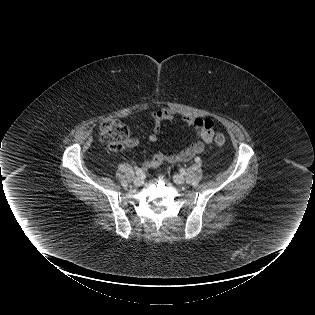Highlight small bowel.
Masks as SVG:
<instances>
[{
	"mask_svg": "<svg viewBox=\"0 0 315 315\" xmlns=\"http://www.w3.org/2000/svg\"><path fill=\"white\" fill-rule=\"evenodd\" d=\"M149 117L153 127L152 133L148 136V140L153 144L160 145L159 133L163 122H176L179 119L187 126L194 129L198 140L178 153L157 150L150 160L143 163L142 167L144 170L155 168L163 162L176 163L191 160L201 154L204 151L205 146L210 144L213 140L214 123L210 119H201L190 115H185L179 118L173 110L168 108L150 112ZM138 143L139 140L136 137H131L128 139L127 146L135 147Z\"/></svg>",
	"mask_w": 315,
	"mask_h": 315,
	"instance_id": "c3829d8e",
	"label": "small bowel"
}]
</instances>
